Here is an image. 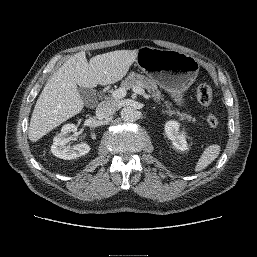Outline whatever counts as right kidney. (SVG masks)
<instances>
[{"label":"right kidney","mask_w":257,"mask_h":257,"mask_svg":"<svg viewBox=\"0 0 257 257\" xmlns=\"http://www.w3.org/2000/svg\"><path fill=\"white\" fill-rule=\"evenodd\" d=\"M77 131V125L73 123L65 124L61 132L57 134L53 139L51 146V152L58 158L71 160L77 157H81L90 151V146L86 143L77 144L71 146L68 144L72 139L73 135Z\"/></svg>","instance_id":"ca27d5eb"}]
</instances>
